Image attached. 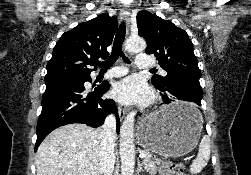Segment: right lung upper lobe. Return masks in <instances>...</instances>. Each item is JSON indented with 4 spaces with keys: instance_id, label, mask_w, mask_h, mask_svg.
I'll use <instances>...</instances> for the list:
<instances>
[{
    "instance_id": "cb5924a9",
    "label": "right lung upper lobe",
    "mask_w": 251,
    "mask_h": 175,
    "mask_svg": "<svg viewBox=\"0 0 251 175\" xmlns=\"http://www.w3.org/2000/svg\"><path fill=\"white\" fill-rule=\"evenodd\" d=\"M117 26L115 17L103 13L65 32L53 49L44 80L90 77L92 69L89 66L109 55L106 48L111 45Z\"/></svg>"
}]
</instances>
